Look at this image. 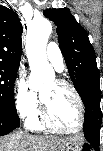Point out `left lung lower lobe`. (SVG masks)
I'll return each mask as SVG.
<instances>
[{"instance_id":"1","label":"left lung lower lobe","mask_w":103,"mask_h":151,"mask_svg":"<svg viewBox=\"0 0 103 151\" xmlns=\"http://www.w3.org/2000/svg\"><path fill=\"white\" fill-rule=\"evenodd\" d=\"M100 78H88L81 98L85 105L84 135L91 146L98 151L102 112L100 109Z\"/></svg>"}]
</instances>
